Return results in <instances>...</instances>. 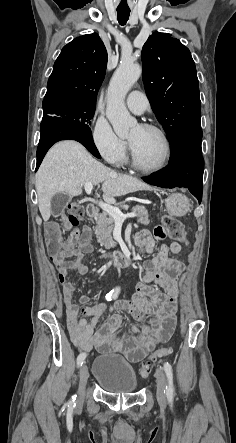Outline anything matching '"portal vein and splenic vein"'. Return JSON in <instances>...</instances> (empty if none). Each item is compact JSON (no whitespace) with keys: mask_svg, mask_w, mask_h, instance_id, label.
Masks as SVG:
<instances>
[{"mask_svg":"<svg viewBox=\"0 0 236 443\" xmlns=\"http://www.w3.org/2000/svg\"><path fill=\"white\" fill-rule=\"evenodd\" d=\"M85 192L90 195L93 189V184L92 183H86L84 186ZM99 206L100 208L107 212L116 222H124V220L126 218H133L136 217L137 214L132 212V213H128V214H123L119 208L117 207H113L109 204L103 203V202H99Z\"/></svg>","mask_w":236,"mask_h":443,"instance_id":"obj_1","label":"portal vein and splenic vein"}]
</instances>
